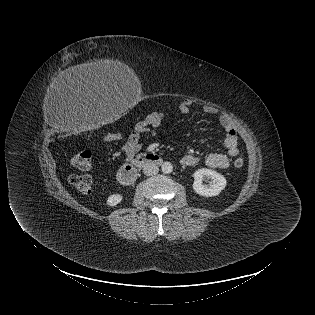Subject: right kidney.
I'll list each match as a JSON object with an SVG mask.
<instances>
[{"instance_id":"ca27d5eb","label":"right kidney","mask_w":315,"mask_h":315,"mask_svg":"<svg viewBox=\"0 0 315 315\" xmlns=\"http://www.w3.org/2000/svg\"><path fill=\"white\" fill-rule=\"evenodd\" d=\"M123 199V196L121 194H112L107 198V205L108 206H116L117 204H119Z\"/></svg>"}]
</instances>
